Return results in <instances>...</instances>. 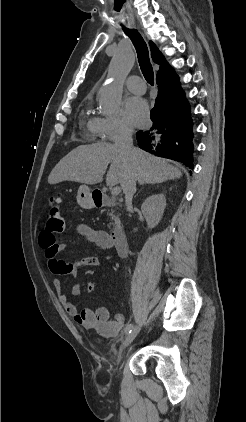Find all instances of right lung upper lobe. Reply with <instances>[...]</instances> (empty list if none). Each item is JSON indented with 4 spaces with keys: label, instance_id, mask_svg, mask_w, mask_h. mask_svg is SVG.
I'll return each instance as SVG.
<instances>
[{
    "label": "right lung upper lobe",
    "instance_id": "obj_1",
    "mask_svg": "<svg viewBox=\"0 0 246 422\" xmlns=\"http://www.w3.org/2000/svg\"><path fill=\"white\" fill-rule=\"evenodd\" d=\"M150 50H151V57L155 63L160 65V69L157 74V79H165V78H171L175 76V72L171 69L169 64L166 62L165 58L161 54V52L158 50L156 45L150 41Z\"/></svg>",
    "mask_w": 246,
    "mask_h": 422
}]
</instances>
